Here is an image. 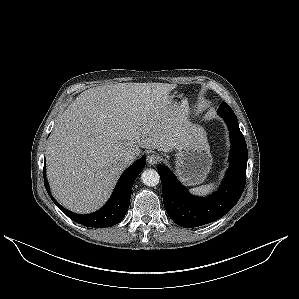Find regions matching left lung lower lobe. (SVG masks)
I'll return each mask as SVG.
<instances>
[{
  "instance_id": "left-lung-lower-lobe-1",
  "label": "left lung lower lobe",
  "mask_w": 299,
  "mask_h": 299,
  "mask_svg": "<svg viewBox=\"0 0 299 299\" xmlns=\"http://www.w3.org/2000/svg\"><path fill=\"white\" fill-rule=\"evenodd\" d=\"M227 123L230 140V166L219 190L207 197L192 196L162 165L157 167L162 182L165 209L179 226L193 228L213 222L229 212L242 195L246 182L247 145L233 110L223 102L217 110Z\"/></svg>"
}]
</instances>
